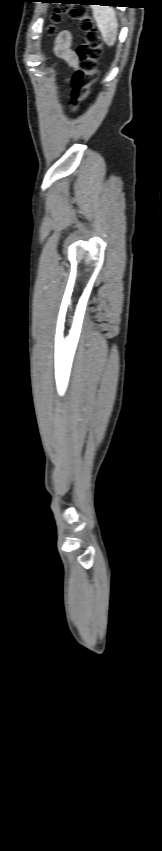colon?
<instances>
[{"mask_svg": "<svg viewBox=\"0 0 162 851\" xmlns=\"http://www.w3.org/2000/svg\"><path fill=\"white\" fill-rule=\"evenodd\" d=\"M64 13L78 22L79 28L83 33V40L77 45L75 50L80 69L73 79L71 104L73 110L76 111L79 109L80 104L89 97L91 88L97 80V62L102 54L103 41L94 19L84 7L78 5L61 6L52 13L51 24L48 27V33L50 35L55 33L56 25L61 21V16Z\"/></svg>", "mask_w": 162, "mask_h": 851, "instance_id": "obj_1", "label": "colon"}]
</instances>
